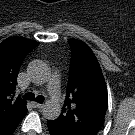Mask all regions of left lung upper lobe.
<instances>
[{"mask_svg": "<svg viewBox=\"0 0 135 135\" xmlns=\"http://www.w3.org/2000/svg\"><path fill=\"white\" fill-rule=\"evenodd\" d=\"M71 64L61 115L53 124L68 135H97L108 106V94L99 63L90 47L68 40Z\"/></svg>", "mask_w": 135, "mask_h": 135, "instance_id": "1", "label": "left lung upper lobe"}]
</instances>
